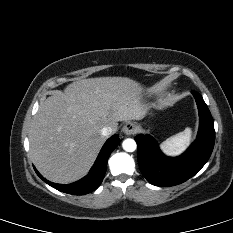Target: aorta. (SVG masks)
Returning <instances> with one entry per match:
<instances>
[{
  "label": "aorta",
  "instance_id": "aorta-1",
  "mask_svg": "<svg viewBox=\"0 0 233 233\" xmlns=\"http://www.w3.org/2000/svg\"><path fill=\"white\" fill-rule=\"evenodd\" d=\"M122 147L127 152H133L137 148V144L134 139L127 138L123 141Z\"/></svg>",
  "mask_w": 233,
  "mask_h": 233
}]
</instances>
